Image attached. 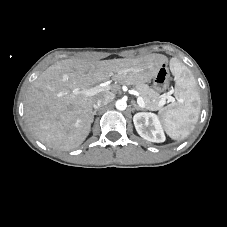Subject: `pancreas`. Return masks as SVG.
<instances>
[{
	"instance_id": "cf45deb5",
	"label": "pancreas",
	"mask_w": 227,
	"mask_h": 227,
	"mask_svg": "<svg viewBox=\"0 0 227 227\" xmlns=\"http://www.w3.org/2000/svg\"><path fill=\"white\" fill-rule=\"evenodd\" d=\"M135 89L143 98L145 102V109L150 111L163 110V105H161L160 102L164 96L159 95L154 89L144 83L136 84Z\"/></svg>"
}]
</instances>
